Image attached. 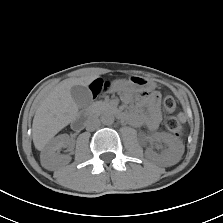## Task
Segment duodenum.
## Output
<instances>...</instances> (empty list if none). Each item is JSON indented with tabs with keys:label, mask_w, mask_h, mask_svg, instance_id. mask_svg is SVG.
<instances>
[{
	"label": "duodenum",
	"mask_w": 223,
	"mask_h": 223,
	"mask_svg": "<svg viewBox=\"0 0 223 223\" xmlns=\"http://www.w3.org/2000/svg\"><path fill=\"white\" fill-rule=\"evenodd\" d=\"M116 114L119 117H123V114L121 112H117ZM82 125H83V122H82L81 118H76L72 124L73 128H80Z\"/></svg>",
	"instance_id": "duodenum-1"
}]
</instances>
